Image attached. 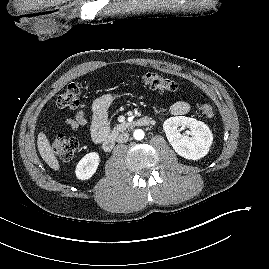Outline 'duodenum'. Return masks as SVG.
<instances>
[{
  "mask_svg": "<svg viewBox=\"0 0 269 269\" xmlns=\"http://www.w3.org/2000/svg\"><path fill=\"white\" fill-rule=\"evenodd\" d=\"M151 120L148 117H142L133 123L134 126H149ZM123 128H121L122 130ZM115 131L107 134L102 142V147L105 151H111L116 143V138L121 131Z\"/></svg>",
  "mask_w": 269,
  "mask_h": 269,
  "instance_id": "obj_1",
  "label": "duodenum"
}]
</instances>
